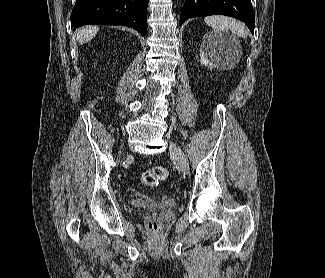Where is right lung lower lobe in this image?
Wrapping results in <instances>:
<instances>
[{"label":"right lung lower lobe","instance_id":"obj_1","mask_svg":"<svg viewBox=\"0 0 325 278\" xmlns=\"http://www.w3.org/2000/svg\"><path fill=\"white\" fill-rule=\"evenodd\" d=\"M148 0H77L71 14L73 30L86 24L125 25L147 33Z\"/></svg>","mask_w":325,"mask_h":278}]
</instances>
